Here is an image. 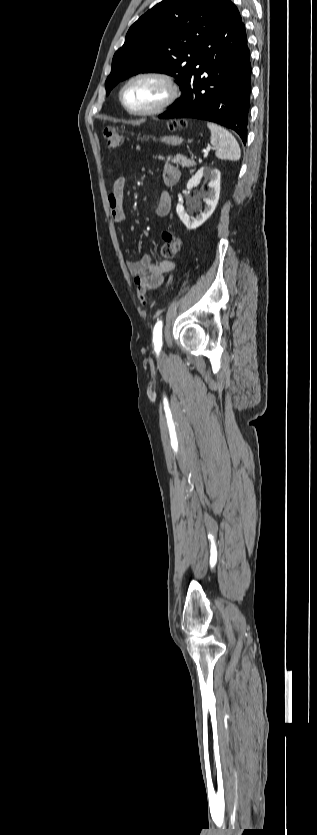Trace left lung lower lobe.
<instances>
[{"label":"left lung lower lobe","instance_id":"0a47b994","mask_svg":"<svg viewBox=\"0 0 317 835\" xmlns=\"http://www.w3.org/2000/svg\"><path fill=\"white\" fill-rule=\"evenodd\" d=\"M250 90L245 26L231 3L203 43L181 97L158 117L212 121L237 132L245 144Z\"/></svg>","mask_w":317,"mask_h":835}]
</instances>
